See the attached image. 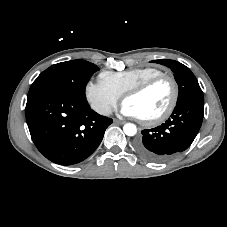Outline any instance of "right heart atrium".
<instances>
[{
	"label": "right heart atrium",
	"instance_id": "d8ad5b80",
	"mask_svg": "<svg viewBox=\"0 0 227 227\" xmlns=\"http://www.w3.org/2000/svg\"><path fill=\"white\" fill-rule=\"evenodd\" d=\"M85 96L92 109L103 116L110 115L120 99L101 81H89L85 86Z\"/></svg>",
	"mask_w": 227,
	"mask_h": 227
}]
</instances>
